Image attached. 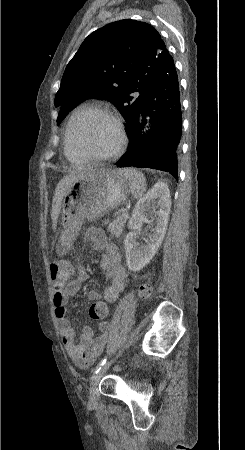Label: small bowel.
Returning a JSON list of instances; mask_svg holds the SVG:
<instances>
[{
	"mask_svg": "<svg viewBox=\"0 0 245 450\" xmlns=\"http://www.w3.org/2000/svg\"><path fill=\"white\" fill-rule=\"evenodd\" d=\"M83 243L102 252L100 266L105 271V280L109 282L102 296L93 290L89 292V298L98 300L102 297L106 304H113L128 282L118 248L107 239L102 230L97 228L87 230ZM72 274L76 275L75 280H70ZM50 276L53 280L54 317L59 325L65 350L80 368L85 369L103 352L111 329L110 323L106 320L98 323L99 336H95L90 327H84L77 342L75 329L67 317V303L69 298L78 294L81 285L88 280L89 272L81 264L77 266L66 264L58 267L55 273L51 267Z\"/></svg>",
	"mask_w": 245,
	"mask_h": 450,
	"instance_id": "small-bowel-1",
	"label": "small bowel"
}]
</instances>
